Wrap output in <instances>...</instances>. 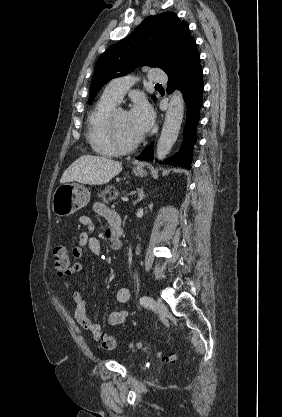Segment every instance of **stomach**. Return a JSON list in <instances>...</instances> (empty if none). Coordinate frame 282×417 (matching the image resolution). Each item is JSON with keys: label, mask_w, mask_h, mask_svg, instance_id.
<instances>
[{"label": "stomach", "mask_w": 282, "mask_h": 417, "mask_svg": "<svg viewBox=\"0 0 282 417\" xmlns=\"http://www.w3.org/2000/svg\"><path fill=\"white\" fill-rule=\"evenodd\" d=\"M133 172L135 176H145L147 174L143 166H138V164H135ZM89 200L90 192L86 186L77 184V182H63L54 190L52 211L58 217H68V215H73V213L82 209V206H86Z\"/></svg>", "instance_id": "0dacf381"}]
</instances>
